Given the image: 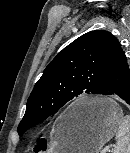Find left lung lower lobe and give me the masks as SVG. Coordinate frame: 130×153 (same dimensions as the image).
<instances>
[{"mask_svg":"<svg viewBox=\"0 0 130 153\" xmlns=\"http://www.w3.org/2000/svg\"><path fill=\"white\" fill-rule=\"evenodd\" d=\"M99 94L118 96L130 105V71L121 48L107 69ZM84 112L85 109H81L76 114Z\"/></svg>","mask_w":130,"mask_h":153,"instance_id":"1","label":"left lung lower lobe"}]
</instances>
